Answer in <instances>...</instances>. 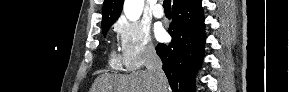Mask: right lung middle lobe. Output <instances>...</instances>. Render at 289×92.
I'll use <instances>...</instances> for the list:
<instances>
[{"label": "right lung middle lobe", "instance_id": "right-lung-middle-lobe-1", "mask_svg": "<svg viewBox=\"0 0 289 92\" xmlns=\"http://www.w3.org/2000/svg\"><path fill=\"white\" fill-rule=\"evenodd\" d=\"M111 25L105 26L102 28L103 35L106 36L107 31L109 30Z\"/></svg>", "mask_w": 289, "mask_h": 92}]
</instances>
